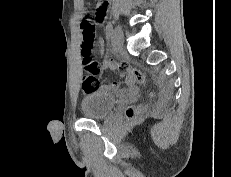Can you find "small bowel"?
<instances>
[{
  "instance_id": "small-bowel-1",
  "label": "small bowel",
  "mask_w": 231,
  "mask_h": 177,
  "mask_svg": "<svg viewBox=\"0 0 231 177\" xmlns=\"http://www.w3.org/2000/svg\"><path fill=\"white\" fill-rule=\"evenodd\" d=\"M108 5H109V0H101L98 3L96 10L94 12V15H93V19H94L95 24H100L103 22L106 10L108 8ZM114 68H115L114 63L111 62L110 60H105L103 62V69H114ZM126 84L130 88H132L133 87V80L130 77H127L126 78ZM108 87H109L108 90H112V91L118 90L119 89V83L113 82L110 85H108Z\"/></svg>"
}]
</instances>
